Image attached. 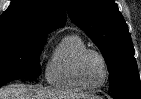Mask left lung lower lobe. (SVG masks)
I'll return each mask as SVG.
<instances>
[{
    "instance_id": "0a47b994",
    "label": "left lung lower lobe",
    "mask_w": 141,
    "mask_h": 99,
    "mask_svg": "<svg viewBox=\"0 0 141 99\" xmlns=\"http://www.w3.org/2000/svg\"><path fill=\"white\" fill-rule=\"evenodd\" d=\"M111 96L114 99H141L140 95H133V94H124V95L111 94Z\"/></svg>"
}]
</instances>
